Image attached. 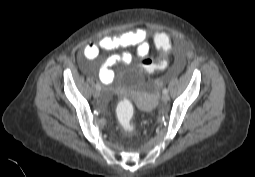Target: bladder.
Masks as SVG:
<instances>
[{
	"label": "bladder",
	"instance_id": "1",
	"mask_svg": "<svg viewBox=\"0 0 255 177\" xmlns=\"http://www.w3.org/2000/svg\"><path fill=\"white\" fill-rule=\"evenodd\" d=\"M145 73L146 71L143 68H141L135 76H131L126 72L119 83H111L108 92L133 99L141 109H144L142 102L138 98V93L141 91V86L144 82L143 75Z\"/></svg>",
	"mask_w": 255,
	"mask_h": 177
}]
</instances>
